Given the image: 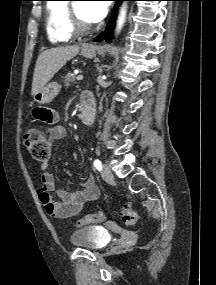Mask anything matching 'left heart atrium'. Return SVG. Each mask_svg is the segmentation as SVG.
Here are the masks:
<instances>
[{
    "mask_svg": "<svg viewBox=\"0 0 216 285\" xmlns=\"http://www.w3.org/2000/svg\"><path fill=\"white\" fill-rule=\"evenodd\" d=\"M107 1H89L85 4V17L89 23L101 21L107 14Z\"/></svg>",
    "mask_w": 216,
    "mask_h": 285,
    "instance_id": "1",
    "label": "left heart atrium"
}]
</instances>
